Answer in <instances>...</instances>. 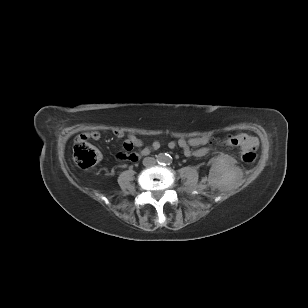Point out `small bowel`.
<instances>
[{"instance_id": "1", "label": "small bowel", "mask_w": 308, "mask_h": 308, "mask_svg": "<svg viewBox=\"0 0 308 308\" xmlns=\"http://www.w3.org/2000/svg\"><path fill=\"white\" fill-rule=\"evenodd\" d=\"M115 135L118 137L123 136V132L118 131L115 132ZM89 139L92 140H99L100 139V134L98 132H92L90 134H87ZM206 139L203 137H197V138H191V139H178L176 141H171L168 144V147L170 149H176L179 148L183 151L184 155L187 157L190 156H201L206 153V150L203 149L202 147L206 144ZM124 146H131V147H136L139 149V152L135 155L137 161L140 157L149 154L152 151H155L159 149L160 144L158 142H154L150 146H143V142L141 139L131 136L129 140L124 144Z\"/></svg>"}]
</instances>
